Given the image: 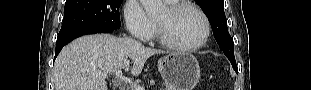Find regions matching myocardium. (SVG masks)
Instances as JSON below:
<instances>
[{
	"mask_svg": "<svg viewBox=\"0 0 311 90\" xmlns=\"http://www.w3.org/2000/svg\"><path fill=\"white\" fill-rule=\"evenodd\" d=\"M185 8L194 10L201 17L204 23V28H205L204 35L199 42L193 45L182 46V45H178L172 42L169 39L163 24L160 23L158 20H156V32H157L158 41L166 48L173 50V51L182 52V53L193 52L203 47L207 43L210 37V33H211V25H210V21L207 15L200 8H198L196 5L190 2L182 1V2H177L176 4H173V5H170L167 7V12L170 15H174L180 10L185 9Z\"/></svg>",
	"mask_w": 311,
	"mask_h": 90,
	"instance_id": "obj_1",
	"label": "myocardium"
}]
</instances>
